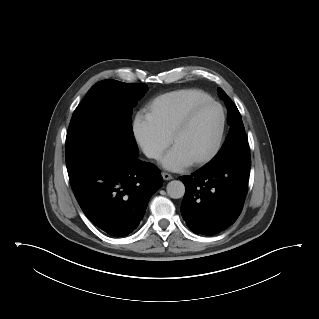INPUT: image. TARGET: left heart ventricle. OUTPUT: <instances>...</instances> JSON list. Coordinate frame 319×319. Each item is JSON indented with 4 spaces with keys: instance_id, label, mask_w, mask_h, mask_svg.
Returning a JSON list of instances; mask_svg holds the SVG:
<instances>
[{
    "instance_id": "obj_1",
    "label": "left heart ventricle",
    "mask_w": 319,
    "mask_h": 319,
    "mask_svg": "<svg viewBox=\"0 0 319 319\" xmlns=\"http://www.w3.org/2000/svg\"><path fill=\"white\" fill-rule=\"evenodd\" d=\"M220 120L218 107H204L196 114L189 129L174 141L172 148L190 162L207 156L216 145Z\"/></svg>"
}]
</instances>
